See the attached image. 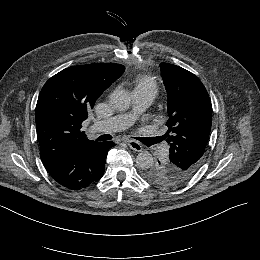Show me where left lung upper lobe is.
<instances>
[{"mask_svg":"<svg viewBox=\"0 0 260 260\" xmlns=\"http://www.w3.org/2000/svg\"><path fill=\"white\" fill-rule=\"evenodd\" d=\"M162 78L168 96L169 159L143 171L150 183L172 187L188 180L200 167L212 124V106L208 93L193 73L176 65L161 63Z\"/></svg>","mask_w":260,"mask_h":260,"instance_id":"5c2ea615","label":"left lung upper lobe"}]
</instances>
